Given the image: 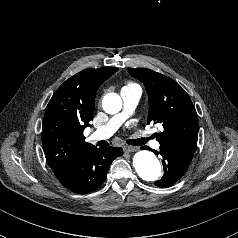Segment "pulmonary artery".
Instances as JSON below:
<instances>
[{"instance_id":"e3ab8cb5","label":"pulmonary artery","mask_w":238,"mask_h":238,"mask_svg":"<svg viewBox=\"0 0 238 238\" xmlns=\"http://www.w3.org/2000/svg\"><path fill=\"white\" fill-rule=\"evenodd\" d=\"M121 97L123 100L122 112L113 116L105 125L94 131L90 136L91 139H107L111 137L136 108L140 99V90L137 88H123ZM141 135L148 139L146 138V132L141 131ZM151 145L155 149L160 146L157 141H152Z\"/></svg>"}]
</instances>
